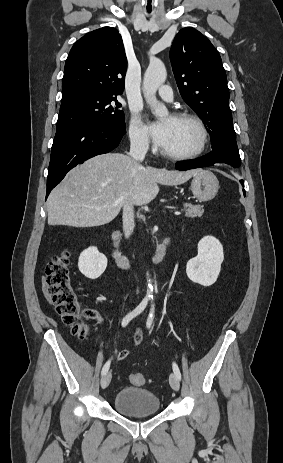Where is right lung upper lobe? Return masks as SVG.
Segmentation results:
<instances>
[{
  "label": "right lung upper lobe",
  "instance_id": "right-lung-upper-lobe-1",
  "mask_svg": "<svg viewBox=\"0 0 283 463\" xmlns=\"http://www.w3.org/2000/svg\"><path fill=\"white\" fill-rule=\"evenodd\" d=\"M126 68L123 41L115 28L87 33L75 42L66 59L61 104L87 95H121Z\"/></svg>",
  "mask_w": 283,
  "mask_h": 463
}]
</instances>
